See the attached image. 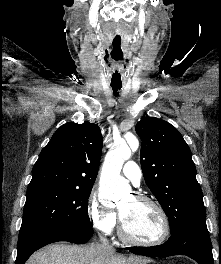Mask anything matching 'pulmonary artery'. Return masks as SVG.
<instances>
[{
  "label": "pulmonary artery",
  "instance_id": "1",
  "mask_svg": "<svg viewBox=\"0 0 221 264\" xmlns=\"http://www.w3.org/2000/svg\"><path fill=\"white\" fill-rule=\"evenodd\" d=\"M122 173L134 185H139L142 178V171L137 163H135L134 161L126 162L123 166Z\"/></svg>",
  "mask_w": 221,
  "mask_h": 264
}]
</instances>
